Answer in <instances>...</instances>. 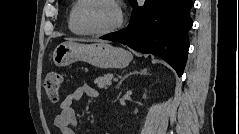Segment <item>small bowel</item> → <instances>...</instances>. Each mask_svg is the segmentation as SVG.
<instances>
[{
  "label": "small bowel",
  "mask_w": 239,
  "mask_h": 134,
  "mask_svg": "<svg viewBox=\"0 0 239 134\" xmlns=\"http://www.w3.org/2000/svg\"><path fill=\"white\" fill-rule=\"evenodd\" d=\"M83 95L89 98H99V91L87 84H84L70 92L61 102L60 111L54 118V124L61 134H75L74 128L78 124V119L73 104L79 101Z\"/></svg>",
  "instance_id": "1"
}]
</instances>
